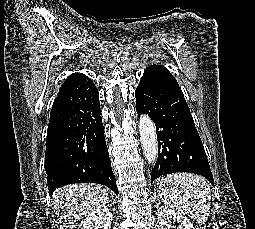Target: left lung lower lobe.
I'll list each match as a JSON object with an SVG mask.
<instances>
[{"instance_id": "left-lung-lower-lobe-1", "label": "left lung lower lobe", "mask_w": 255, "mask_h": 229, "mask_svg": "<svg viewBox=\"0 0 255 229\" xmlns=\"http://www.w3.org/2000/svg\"><path fill=\"white\" fill-rule=\"evenodd\" d=\"M136 111L154 121L158 137V159L151 183L164 175L190 172L214 180L200 136L177 80L168 69L151 65L143 73L135 92Z\"/></svg>"}]
</instances>
